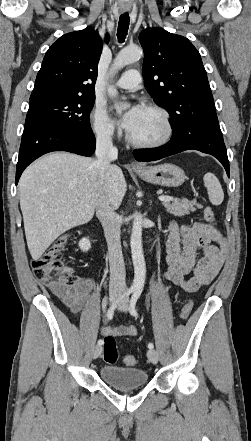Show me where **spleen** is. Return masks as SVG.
<instances>
[{
  "mask_svg": "<svg viewBox=\"0 0 251 441\" xmlns=\"http://www.w3.org/2000/svg\"><path fill=\"white\" fill-rule=\"evenodd\" d=\"M204 184L207 188L209 200L213 205H220L224 200V192L218 178L213 173H206Z\"/></svg>",
  "mask_w": 251,
  "mask_h": 441,
  "instance_id": "3e777b00",
  "label": "spleen"
}]
</instances>
